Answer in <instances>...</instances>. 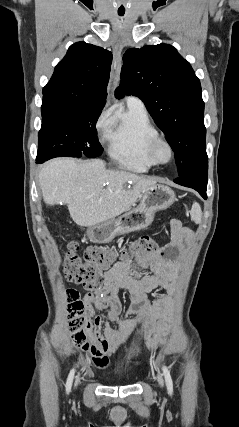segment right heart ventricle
<instances>
[{
  "instance_id": "e07e8e85",
  "label": "right heart ventricle",
  "mask_w": 239,
  "mask_h": 427,
  "mask_svg": "<svg viewBox=\"0 0 239 427\" xmlns=\"http://www.w3.org/2000/svg\"><path fill=\"white\" fill-rule=\"evenodd\" d=\"M156 135L158 131L146 109L128 104L110 119L105 132L108 155L125 169L147 172L154 166L147 149Z\"/></svg>"
}]
</instances>
